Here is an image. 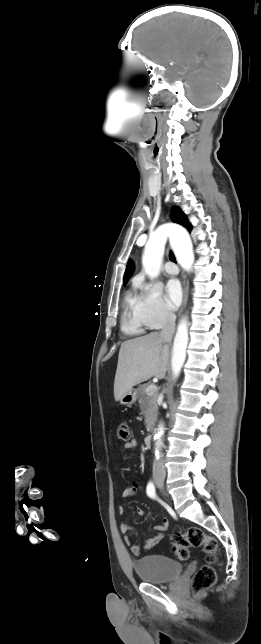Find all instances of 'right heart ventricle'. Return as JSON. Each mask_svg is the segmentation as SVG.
Returning <instances> with one entry per match:
<instances>
[{
  "label": "right heart ventricle",
  "mask_w": 261,
  "mask_h": 644,
  "mask_svg": "<svg viewBox=\"0 0 261 644\" xmlns=\"http://www.w3.org/2000/svg\"><path fill=\"white\" fill-rule=\"evenodd\" d=\"M145 324L139 307V298L133 292H127L124 302V314L122 319V329L130 335L141 334L144 332Z\"/></svg>",
  "instance_id": "obj_1"
}]
</instances>
